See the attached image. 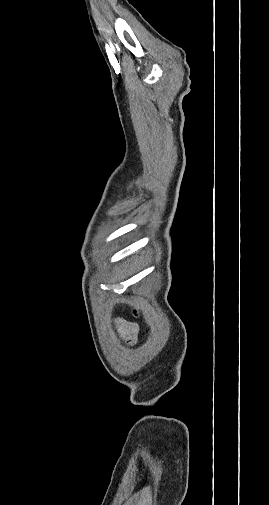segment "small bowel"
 <instances>
[{"instance_id":"small-bowel-1","label":"small bowel","mask_w":269,"mask_h":505,"mask_svg":"<svg viewBox=\"0 0 269 505\" xmlns=\"http://www.w3.org/2000/svg\"><path fill=\"white\" fill-rule=\"evenodd\" d=\"M117 323H118L119 331L122 333V335H124L127 338H130L132 340L135 339V337L137 335V331H138V328L136 325L126 322L122 319H119Z\"/></svg>"}]
</instances>
